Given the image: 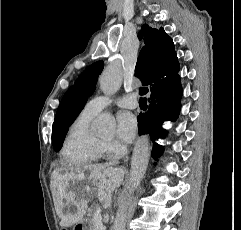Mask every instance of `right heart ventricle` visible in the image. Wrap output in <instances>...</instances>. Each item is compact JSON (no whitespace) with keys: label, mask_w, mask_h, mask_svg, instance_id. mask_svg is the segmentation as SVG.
I'll list each match as a JSON object with an SVG mask.
<instances>
[{"label":"right heart ventricle","mask_w":241,"mask_h":230,"mask_svg":"<svg viewBox=\"0 0 241 230\" xmlns=\"http://www.w3.org/2000/svg\"><path fill=\"white\" fill-rule=\"evenodd\" d=\"M95 115L83 110L68 128L61 151L65 164L84 165L101 156V141L90 132Z\"/></svg>","instance_id":"1"}]
</instances>
